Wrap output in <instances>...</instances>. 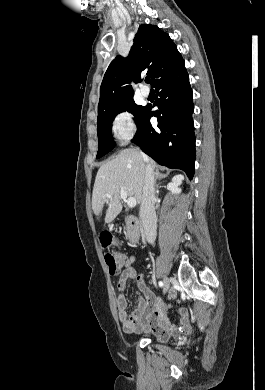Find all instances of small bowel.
Instances as JSON below:
<instances>
[{
    "label": "small bowel",
    "instance_id": "c3829d8e",
    "mask_svg": "<svg viewBox=\"0 0 265 390\" xmlns=\"http://www.w3.org/2000/svg\"><path fill=\"white\" fill-rule=\"evenodd\" d=\"M137 258L128 256L123 258V271L118 281V296L116 299V308L119 321L126 333H136L143 330L152 332L157 338L165 339L172 331L173 326L168 320L165 307L158 300L156 295L146 286L143 281V275L137 274L133 264ZM130 280H135L138 289L142 293L137 308L128 315L126 287ZM180 324L182 328L188 329L189 314L185 309L179 310Z\"/></svg>",
    "mask_w": 265,
    "mask_h": 390
}]
</instances>
